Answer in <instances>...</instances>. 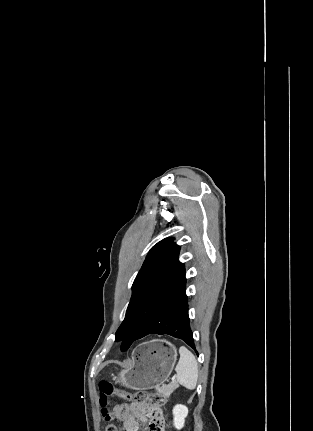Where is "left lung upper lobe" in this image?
I'll return each instance as SVG.
<instances>
[{"label":"left lung upper lobe","mask_w":313,"mask_h":431,"mask_svg":"<svg viewBox=\"0 0 313 431\" xmlns=\"http://www.w3.org/2000/svg\"><path fill=\"white\" fill-rule=\"evenodd\" d=\"M180 248L173 238L158 242L148 253L132 285L125 319L115 333L126 351L155 314L185 289L184 264L179 262Z\"/></svg>","instance_id":"5c2ea615"}]
</instances>
